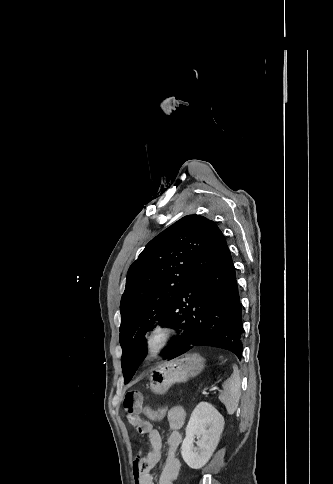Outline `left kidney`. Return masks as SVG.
I'll list each match as a JSON object with an SVG mask.
<instances>
[{
    "label": "left kidney",
    "instance_id": "1",
    "mask_svg": "<svg viewBox=\"0 0 333 484\" xmlns=\"http://www.w3.org/2000/svg\"><path fill=\"white\" fill-rule=\"evenodd\" d=\"M224 429L223 416L208 402L199 403L193 410L186 427L181 455L192 469H200L211 458ZM197 437V447L193 446Z\"/></svg>",
    "mask_w": 333,
    "mask_h": 484
}]
</instances>
